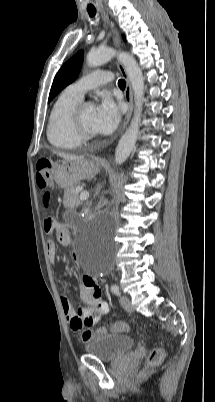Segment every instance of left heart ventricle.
<instances>
[{
    "instance_id": "b2bd125f",
    "label": "left heart ventricle",
    "mask_w": 215,
    "mask_h": 402,
    "mask_svg": "<svg viewBox=\"0 0 215 402\" xmlns=\"http://www.w3.org/2000/svg\"><path fill=\"white\" fill-rule=\"evenodd\" d=\"M95 107L91 104H86L81 111V121L86 130L95 133L93 130V118H94Z\"/></svg>"
}]
</instances>
